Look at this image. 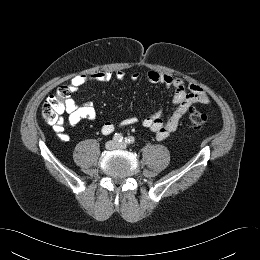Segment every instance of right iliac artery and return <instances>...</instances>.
<instances>
[{"label":"right iliac artery","mask_w":260,"mask_h":260,"mask_svg":"<svg viewBox=\"0 0 260 260\" xmlns=\"http://www.w3.org/2000/svg\"><path fill=\"white\" fill-rule=\"evenodd\" d=\"M113 139H114L115 142L120 143V142L123 141V136H122V134L116 133V134L114 135Z\"/></svg>","instance_id":"obj_1"}]
</instances>
